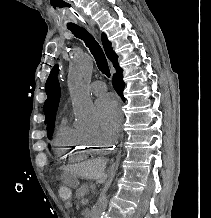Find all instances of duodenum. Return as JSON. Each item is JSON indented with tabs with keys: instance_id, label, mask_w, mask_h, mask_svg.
<instances>
[{
	"instance_id": "410a0bca",
	"label": "duodenum",
	"mask_w": 211,
	"mask_h": 218,
	"mask_svg": "<svg viewBox=\"0 0 211 218\" xmlns=\"http://www.w3.org/2000/svg\"><path fill=\"white\" fill-rule=\"evenodd\" d=\"M90 215H91L90 209H85V210L83 211V216H84V218H89Z\"/></svg>"
}]
</instances>
